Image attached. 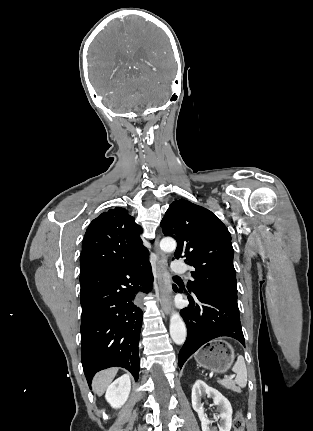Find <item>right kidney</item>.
<instances>
[{"label":"right kidney","instance_id":"right-kidney-1","mask_svg":"<svg viewBox=\"0 0 313 431\" xmlns=\"http://www.w3.org/2000/svg\"><path fill=\"white\" fill-rule=\"evenodd\" d=\"M130 390V376L125 374L109 385L105 394V398L113 408H120L127 401Z\"/></svg>","mask_w":313,"mask_h":431}]
</instances>
